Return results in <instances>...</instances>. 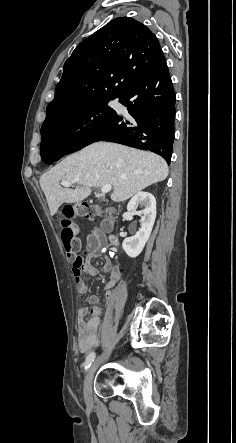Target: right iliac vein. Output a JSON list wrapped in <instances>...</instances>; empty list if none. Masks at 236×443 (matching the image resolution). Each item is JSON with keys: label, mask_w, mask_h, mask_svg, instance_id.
I'll use <instances>...</instances> for the list:
<instances>
[{"label": "right iliac vein", "mask_w": 236, "mask_h": 443, "mask_svg": "<svg viewBox=\"0 0 236 443\" xmlns=\"http://www.w3.org/2000/svg\"><path fill=\"white\" fill-rule=\"evenodd\" d=\"M111 353V350H107L105 351L102 355H100L90 366V368L88 369V372L85 376L84 379V386H83V392H84V396L86 398H89L92 394V381H93V377L94 374L96 372V369L98 367V365L105 360L106 358L109 357Z\"/></svg>", "instance_id": "63e3f726"}]
</instances>
